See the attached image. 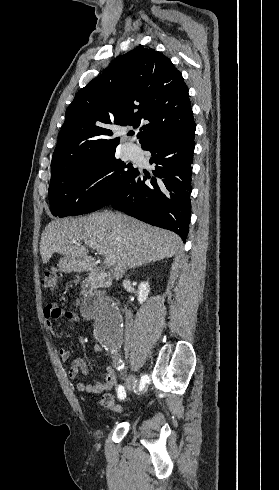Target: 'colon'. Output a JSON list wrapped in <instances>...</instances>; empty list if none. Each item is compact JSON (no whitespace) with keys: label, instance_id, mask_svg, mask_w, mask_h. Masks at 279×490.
Segmentation results:
<instances>
[{"label":"colon","instance_id":"obj_1","mask_svg":"<svg viewBox=\"0 0 279 490\" xmlns=\"http://www.w3.org/2000/svg\"><path fill=\"white\" fill-rule=\"evenodd\" d=\"M42 286L47 290H57L59 286L58 275L52 271L46 272L42 278ZM97 405L114 412H119L121 410L120 405L115 403V400L110 393L101 395L97 401Z\"/></svg>","mask_w":279,"mask_h":490}]
</instances>
